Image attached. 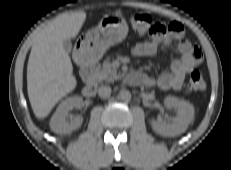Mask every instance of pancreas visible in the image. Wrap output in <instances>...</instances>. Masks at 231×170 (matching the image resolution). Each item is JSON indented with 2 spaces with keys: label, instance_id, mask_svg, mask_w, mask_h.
I'll return each mask as SVG.
<instances>
[{
  "label": "pancreas",
  "instance_id": "1",
  "mask_svg": "<svg viewBox=\"0 0 231 170\" xmlns=\"http://www.w3.org/2000/svg\"><path fill=\"white\" fill-rule=\"evenodd\" d=\"M118 78H120V75L117 73V69L109 61H105L102 69L97 73L99 81L113 82Z\"/></svg>",
  "mask_w": 231,
  "mask_h": 170
}]
</instances>
